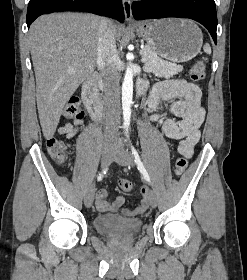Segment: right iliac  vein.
<instances>
[{"label": "right iliac vein", "instance_id": "63e3f726", "mask_svg": "<svg viewBox=\"0 0 247 280\" xmlns=\"http://www.w3.org/2000/svg\"><path fill=\"white\" fill-rule=\"evenodd\" d=\"M112 159H113V147L106 146L102 152V159H101L102 167H107L108 165H110ZM94 194H95V185L92 184L87 190L84 197V204L86 207H91L94 200Z\"/></svg>", "mask_w": 247, "mask_h": 280}]
</instances>
